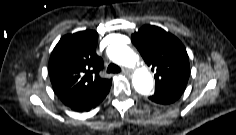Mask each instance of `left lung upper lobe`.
Wrapping results in <instances>:
<instances>
[{
	"label": "left lung upper lobe",
	"mask_w": 236,
	"mask_h": 135,
	"mask_svg": "<svg viewBox=\"0 0 236 135\" xmlns=\"http://www.w3.org/2000/svg\"><path fill=\"white\" fill-rule=\"evenodd\" d=\"M144 61L155 71L157 87L187 84L190 67L184 45L162 28L145 25L131 36Z\"/></svg>",
	"instance_id": "obj_1"
}]
</instances>
